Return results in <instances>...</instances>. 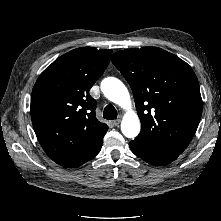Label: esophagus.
I'll use <instances>...</instances> for the list:
<instances>
[{
	"instance_id": "34e87169",
	"label": "esophagus",
	"mask_w": 221,
	"mask_h": 221,
	"mask_svg": "<svg viewBox=\"0 0 221 221\" xmlns=\"http://www.w3.org/2000/svg\"><path fill=\"white\" fill-rule=\"evenodd\" d=\"M120 122H121V117H119V118H117L116 120H114V121H113V124H114L115 126H117V125L120 124Z\"/></svg>"
}]
</instances>
